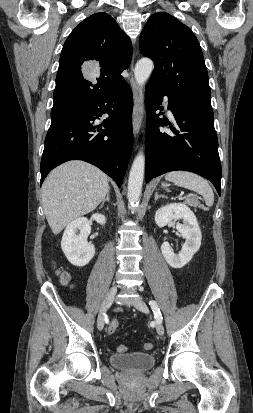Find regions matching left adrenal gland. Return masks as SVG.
<instances>
[{"mask_svg":"<svg viewBox=\"0 0 253 413\" xmlns=\"http://www.w3.org/2000/svg\"><path fill=\"white\" fill-rule=\"evenodd\" d=\"M159 198H167V196L159 195L158 192H155V196H154L155 201H157Z\"/></svg>","mask_w":253,"mask_h":413,"instance_id":"obj_1","label":"left adrenal gland"}]
</instances>
